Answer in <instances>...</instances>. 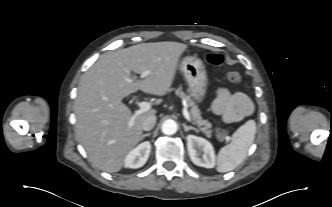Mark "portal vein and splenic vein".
Masks as SVG:
<instances>
[{"mask_svg": "<svg viewBox=\"0 0 332 207\" xmlns=\"http://www.w3.org/2000/svg\"><path fill=\"white\" fill-rule=\"evenodd\" d=\"M149 74H150V71H145V72H143L141 74L140 77L144 78V77H146ZM138 106H139L140 110H138L137 112H135V114L133 115V117L129 121V124H128L129 128H131L133 126L134 118L137 115H139V114H141L143 112H146V111L150 110V108H151V104L149 102H145V101L139 102ZM183 115H184V117L186 118L187 121L191 122L190 114L188 113V111L186 109L183 110Z\"/></svg>", "mask_w": 332, "mask_h": 207, "instance_id": "portal-vein-and-splenic-vein-1", "label": "portal vein and splenic vein"}]
</instances>
